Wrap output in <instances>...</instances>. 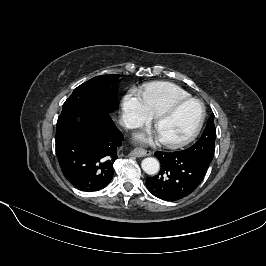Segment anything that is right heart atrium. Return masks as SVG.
<instances>
[{"label": "right heart atrium", "mask_w": 266, "mask_h": 266, "mask_svg": "<svg viewBox=\"0 0 266 266\" xmlns=\"http://www.w3.org/2000/svg\"><path fill=\"white\" fill-rule=\"evenodd\" d=\"M122 119L126 127H137L148 123L152 115L142 96L135 90L128 91L122 100Z\"/></svg>", "instance_id": "d8ad5b80"}]
</instances>
